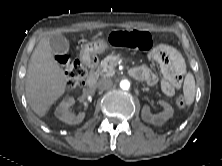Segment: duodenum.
I'll use <instances>...</instances> for the list:
<instances>
[{"label":"duodenum","mask_w":222,"mask_h":166,"mask_svg":"<svg viewBox=\"0 0 222 166\" xmlns=\"http://www.w3.org/2000/svg\"><path fill=\"white\" fill-rule=\"evenodd\" d=\"M82 61L89 70V75L86 80V86L88 88H93L97 81L96 67L98 65V58L94 55L87 54L83 56ZM131 74L133 76V72H131Z\"/></svg>","instance_id":"obj_1"}]
</instances>
